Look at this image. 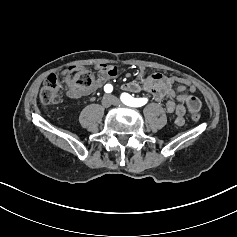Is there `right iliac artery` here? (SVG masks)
I'll return each instance as SVG.
<instances>
[{
	"instance_id": "obj_1",
	"label": "right iliac artery",
	"mask_w": 237,
	"mask_h": 237,
	"mask_svg": "<svg viewBox=\"0 0 237 237\" xmlns=\"http://www.w3.org/2000/svg\"><path fill=\"white\" fill-rule=\"evenodd\" d=\"M112 90H113V86H112L111 84H106V85L104 86V91H105L106 93H111Z\"/></svg>"
}]
</instances>
